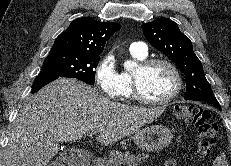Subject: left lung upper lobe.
<instances>
[{
	"label": "left lung upper lobe",
	"instance_id": "5c2ea615",
	"mask_svg": "<svg viewBox=\"0 0 231 166\" xmlns=\"http://www.w3.org/2000/svg\"><path fill=\"white\" fill-rule=\"evenodd\" d=\"M142 29L147 41L175 62L184 73L186 100H217L205 78L201 61L193 51L191 41L181 33L174 21L160 18L144 23Z\"/></svg>",
	"mask_w": 231,
	"mask_h": 166
}]
</instances>
